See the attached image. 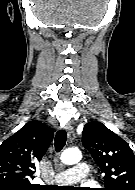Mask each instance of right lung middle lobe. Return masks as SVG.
I'll return each instance as SVG.
<instances>
[{"label":"right lung middle lobe","mask_w":135,"mask_h":190,"mask_svg":"<svg viewBox=\"0 0 135 190\" xmlns=\"http://www.w3.org/2000/svg\"><path fill=\"white\" fill-rule=\"evenodd\" d=\"M0 190H38V187H18L12 185H1Z\"/></svg>","instance_id":"obj_1"}]
</instances>
